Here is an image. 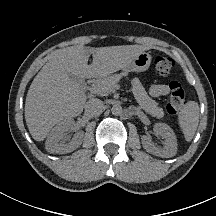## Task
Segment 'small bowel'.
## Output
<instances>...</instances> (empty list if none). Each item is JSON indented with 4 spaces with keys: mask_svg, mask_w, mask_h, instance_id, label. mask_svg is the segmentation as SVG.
<instances>
[{
    "mask_svg": "<svg viewBox=\"0 0 216 216\" xmlns=\"http://www.w3.org/2000/svg\"><path fill=\"white\" fill-rule=\"evenodd\" d=\"M169 93V87L166 84H154L150 87V94L153 97L165 96Z\"/></svg>",
    "mask_w": 216,
    "mask_h": 216,
    "instance_id": "small-bowel-1",
    "label": "small bowel"
}]
</instances>
